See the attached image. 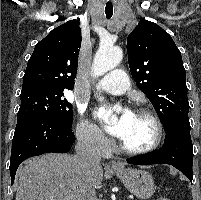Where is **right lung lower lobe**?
<instances>
[{"instance_id":"98d812e1","label":"right lung lower lobe","mask_w":201,"mask_h":200,"mask_svg":"<svg viewBox=\"0 0 201 200\" xmlns=\"http://www.w3.org/2000/svg\"><path fill=\"white\" fill-rule=\"evenodd\" d=\"M74 141L71 127L53 118L36 116L18 120L10 158L11 185L25 159L48 152L66 153Z\"/></svg>"}]
</instances>
